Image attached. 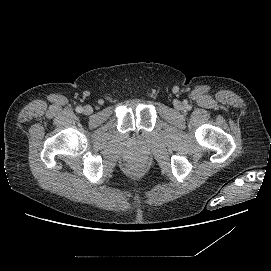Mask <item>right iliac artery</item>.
Masks as SVG:
<instances>
[{
  "instance_id": "82829eb1",
  "label": "right iliac artery",
  "mask_w": 271,
  "mask_h": 271,
  "mask_svg": "<svg viewBox=\"0 0 271 271\" xmlns=\"http://www.w3.org/2000/svg\"><path fill=\"white\" fill-rule=\"evenodd\" d=\"M82 111H83V109H82L81 106H78V107L76 108V112L81 113Z\"/></svg>"
}]
</instances>
